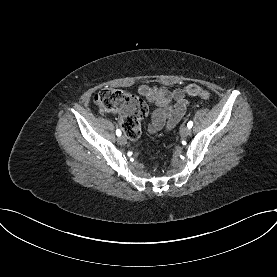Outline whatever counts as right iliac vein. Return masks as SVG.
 I'll use <instances>...</instances> for the list:
<instances>
[{
    "label": "right iliac vein",
    "instance_id": "1",
    "mask_svg": "<svg viewBox=\"0 0 277 277\" xmlns=\"http://www.w3.org/2000/svg\"><path fill=\"white\" fill-rule=\"evenodd\" d=\"M118 143H119L120 145H125V144L127 143L126 137H125L124 135L119 136V138H118Z\"/></svg>",
    "mask_w": 277,
    "mask_h": 277
}]
</instances>
